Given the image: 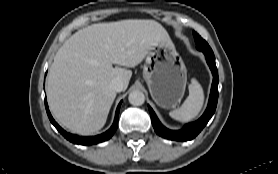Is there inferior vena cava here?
<instances>
[{
  "mask_svg": "<svg viewBox=\"0 0 278 174\" xmlns=\"http://www.w3.org/2000/svg\"><path fill=\"white\" fill-rule=\"evenodd\" d=\"M110 87L116 92H121L124 89L123 81L119 78H114L110 82Z\"/></svg>",
  "mask_w": 278,
  "mask_h": 174,
  "instance_id": "obj_1",
  "label": "inferior vena cava"
}]
</instances>
